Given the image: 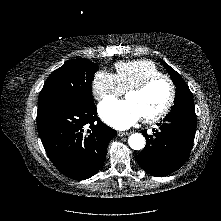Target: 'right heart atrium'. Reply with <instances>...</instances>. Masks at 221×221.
Returning a JSON list of instances; mask_svg holds the SVG:
<instances>
[{
	"mask_svg": "<svg viewBox=\"0 0 221 221\" xmlns=\"http://www.w3.org/2000/svg\"><path fill=\"white\" fill-rule=\"evenodd\" d=\"M92 91L97 100H103L122 94L123 89L115 74L99 70L92 79Z\"/></svg>",
	"mask_w": 221,
	"mask_h": 221,
	"instance_id": "1",
	"label": "right heart atrium"
}]
</instances>
